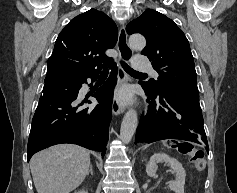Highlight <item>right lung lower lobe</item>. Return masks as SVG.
I'll list each match as a JSON object with an SVG mask.
<instances>
[{"label": "right lung lower lobe", "mask_w": 237, "mask_h": 193, "mask_svg": "<svg viewBox=\"0 0 237 193\" xmlns=\"http://www.w3.org/2000/svg\"><path fill=\"white\" fill-rule=\"evenodd\" d=\"M111 68L112 76L92 95L99 102L94 108L81 107L87 100L80 102L78 93L82 84L87 83V78L96 79L100 70L73 75L48 69L43 93L32 120L28 161L34 153L60 143L77 144L105 155L112 116V89L117 81V67L114 64Z\"/></svg>", "instance_id": "98d812e1"}]
</instances>
